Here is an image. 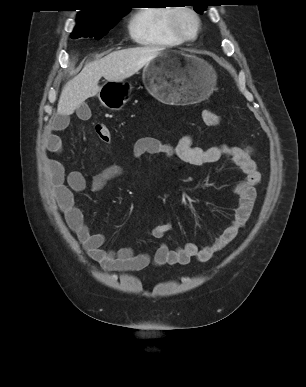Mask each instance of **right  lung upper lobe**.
Instances as JSON below:
<instances>
[{
    "label": "right lung upper lobe",
    "mask_w": 306,
    "mask_h": 387,
    "mask_svg": "<svg viewBox=\"0 0 306 387\" xmlns=\"http://www.w3.org/2000/svg\"><path fill=\"white\" fill-rule=\"evenodd\" d=\"M87 8L78 13V19H103L125 10L122 0H86Z\"/></svg>",
    "instance_id": "1"
}]
</instances>
